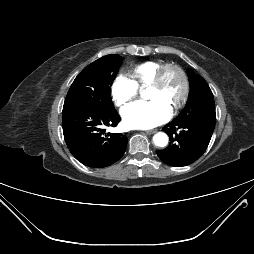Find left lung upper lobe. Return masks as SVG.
<instances>
[{
  "instance_id": "obj_1",
  "label": "left lung upper lobe",
  "mask_w": 254,
  "mask_h": 254,
  "mask_svg": "<svg viewBox=\"0 0 254 254\" xmlns=\"http://www.w3.org/2000/svg\"><path fill=\"white\" fill-rule=\"evenodd\" d=\"M187 73L190 82V92L186 107H215L212 91L206 81L199 75H193L191 69Z\"/></svg>"
}]
</instances>
